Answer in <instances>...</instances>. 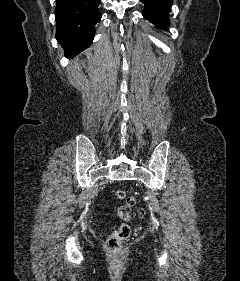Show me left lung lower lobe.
I'll return each mask as SVG.
<instances>
[{
  "label": "left lung lower lobe",
  "instance_id": "left-lung-lower-lobe-1",
  "mask_svg": "<svg viewBox=\"0 0 240 281\" xmlns=\"http://www.w3.org/2000/svg\"><path fill=\"white\" fill-rule=\"evenodd\" d=\"M145 7L143 16L156 27L164 29L168 23V12H170L173 0H141Z\"/></svg>",
  "mask_w": 240,
  "mask_h": 281
}]
</instances>
